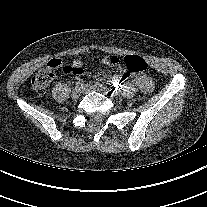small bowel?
<instances>
[{"label":"small bowel","mask_w":207,"mask_h":207,"mask_svg":"<svg viewBox=\"0 0 207 207\" xmlns=\"http://www.w3.org/2000/svg\"><path fill=\"white\" fill-rule=\"evenodd\" d=\"M51 60L50 62L55 61ZM102 64L109 65L115 68H120V60L116 56L105 57L101 60ZM70 72L81 75L83 73L82 62L80 60H75L72 64V70ZM116 85L132 84L144 93H150L153 90V82L147 75H137L133 78L132 82H126L123 78H114Z\"/></svg>","instance_id":"small-bowel-1"}]
</instances>
